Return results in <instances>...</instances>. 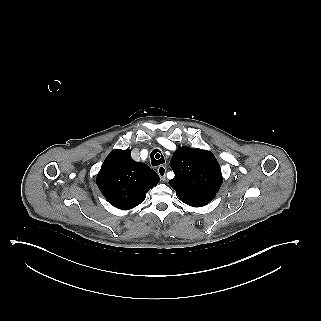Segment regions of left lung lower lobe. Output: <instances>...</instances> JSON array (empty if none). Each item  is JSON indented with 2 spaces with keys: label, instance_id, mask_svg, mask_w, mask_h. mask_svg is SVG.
I'll use <instances>...</instances> for the list:
<instances>
[{
  "label": "left lung lower lobe",
  "instance_id": "obj_1",
  "mask_svg": "<svg viewBox=\"0 0 321 321\" xmlns=\"http://www.w3.org/2000/svg\"><path fill=\"white\" fill-rule=\"evenodd\" d=\"M214 197H197V198H189L186 201H183L185 204L192 207H201L208 204Z\"/></svg>",
  "mask_w": 321,
  "mask_h": 321
}]
</instances>
